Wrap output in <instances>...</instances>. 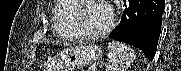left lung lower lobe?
<instances>
[{
	"label": "left lung lower lobe",
	"mask_w": 181,
	"mask_h": 71,
	"mask_svg": "<svg viewBox=\"0 0 181 71\" xmlns=\"http://www.w3.org/2000/svg\"><path fill=\"white\" fill-rule=\"evenodd\" d=\"M125 11L121 24L109 35L111 39L141 49L149 61L155 56L161 32L164 0H123Z\"/></svg>",
	"instance_id": "obj_1"
}]
</instances>
